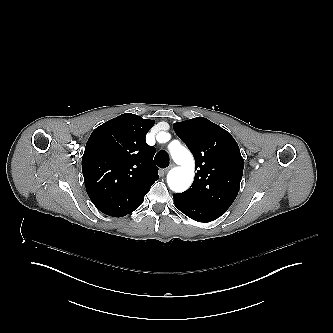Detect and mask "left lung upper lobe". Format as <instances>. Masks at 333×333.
<instances>
[{"mask_svg": "<svg viewBox=\"0 0 333 333\" xmlns=\"http://www.w3.org/2000/svg\"><path fill=\"white\" fill-rule=\"evenodd\" d=\"M195 158L194 181L178 194L196 204L227 210L234 202L243 175L244 160L231 134L204 117L173 125Z\"/></svg>", "mask_w": 333, "mask_h": 333, "instance_id": "5c2ea615", "label": "left lung upper lobe"}]
</instances>
